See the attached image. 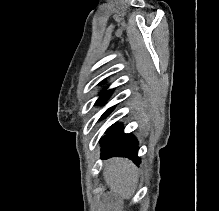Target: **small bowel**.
I'll return each mask as SVG.
<instances>
[{"label":"small bowel","mask_w":219,"mask_h":211,"mask_svg":"<svg viewBox=\"0 0 219 211\" xmlns=\"http://www.w3.org/2000/svg\"><path fill=\"white\" fill-rule=\"evenodd\" d=\"M104 201H105V206L109 211H117L116 200L112 196L110 195L106 196Z\"/></svg>","instance_id":"small-bowel-1"}]
</instances>
